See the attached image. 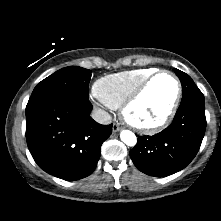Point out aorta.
Returning a JSON list of instances; mask_svg holds the SVG:
<instances>
[{"instance_id": "1", "label": "aorta", "mask_w": 221, "mask_h": 221, "mask_svg": "<svg viewBox=\"0 0 221 221\" xmlns=\"http://www.w3.org/2000/svg\"><path fill=\"white\" fill-rule=\"evenodd\" d=\"M120 138H121V141L128 146H134L137 143V138L135 134L129 130L121 131Z\"/></svg>"}]
</instances>
